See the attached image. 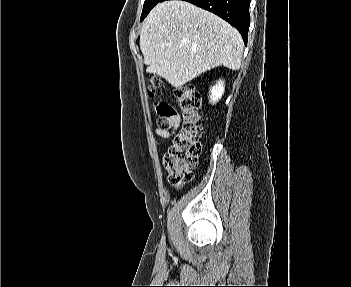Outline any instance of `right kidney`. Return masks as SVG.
Segmentation results:
<instances>
[{
	"label": "right kidney",
	"mask_w": 351,
	"mask_h": 287,
	"mask_svg": "<svg viewBox=\"0 0 351 287\" xmlns=\"http://www.w3.org/2000/svg\"><path fill=\"white\" fill-rule=\"evenodd\" d=\"M210 93V102L213 104L218 102L224 94V81L219 80L216 85L211 87Z\"/></svg>",
	"instance_id": "right-kidney-1"
}]
</instances>
